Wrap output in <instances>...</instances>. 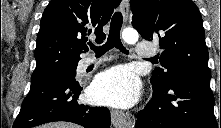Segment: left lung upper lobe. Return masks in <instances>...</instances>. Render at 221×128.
<instances>
[{"instance_id":"left-lung-upper-lobe-1","label":"left lung upper lobe","mask_w":221,"mask_h":128,"mask_svg":"<svg viewBox=\"0 0 221 128\" xmlns=\"http://www.w3.org/2000/svg\"><path fill=\"white\" fill-rule=\"evenodd\" d=\"M132 25L145 39L159 40L160 64L151 77L164 88L175 78H211L202 17L191 0H130Z\"/></svg>"}]
</instances>
